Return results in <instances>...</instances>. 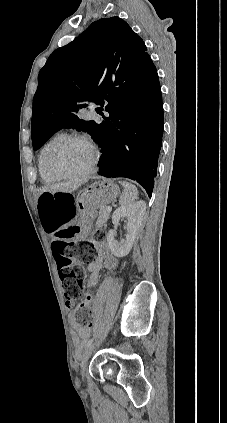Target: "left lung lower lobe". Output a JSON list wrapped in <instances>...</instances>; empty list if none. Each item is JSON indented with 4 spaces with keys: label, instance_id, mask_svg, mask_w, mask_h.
Segmentation results:
<instances>
[{
    "label": "left lung lower lobe",
    "instance_id": "0a47b994",
    "mask_svg": "<svg viewBox=\"0 0 227 423\" xmlns=\"http://www.w3.org/2000/svg\"><path fill=\"white\" fill-rule=\"evenodd\" d=\"M135 105L109 111L95 139L102 151L99 174L136 180L152 195L163 136V103L157 71L137 93Z\"/></svg>",
    "mask_w": 227,
    "mask_h": 423
}]
</instances>
